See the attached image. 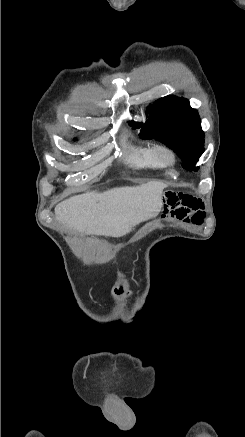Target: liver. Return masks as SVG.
Segmentation results:
<instances>
[{
    "mask_svg": "<svg viewBox=\"0 0 245 437\" xmlns=\"http://www.w3.org/2000/svg\"><path fill=\"white\" fill-rule=\"evenodd\" d=\"M165 187L162 182L151 181L73 196L55 207V215L75 232L121 237L159 214Z\"/></svg>",
    "mask_w": 245,
    "mask_h": 437,
    "instance_id": "1",
    "label": "liver"
}]
</instances>
